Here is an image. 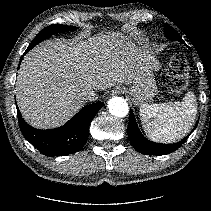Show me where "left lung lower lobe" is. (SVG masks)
<instances>
[{
  "instance_id": "left-lung-lower-lobe-1",
  "label": "left lung lower lobe",
  "mask_w": 211,
  "mask_h": 211,
  "mask_svg": "<svg viewBox=\"0 0 211 211\" xmlns=\"http://www.w3.org/2000/svg\"><path fill=\"white\" fill-rule=\"evenodd\" d=\"M179 42H183V40L181 39ZM197 123L194 126V129L196 128ZM128 137L132 146L142 154L165 155L177 150L186 141L188 136L185 137L183 140L179 141L178 143L174 144H160L149 141L140 132L133 111L130 110L128 123Z\"/></svg>"
}]
</instances>
